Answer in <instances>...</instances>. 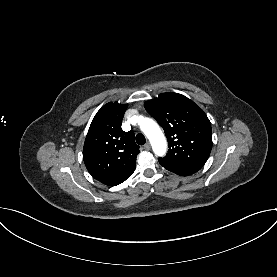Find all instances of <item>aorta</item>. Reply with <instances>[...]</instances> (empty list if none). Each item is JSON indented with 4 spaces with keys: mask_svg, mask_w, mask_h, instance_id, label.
<instances>
[{
    "mask_svg": "<svg viewBox=\"0 0 277 277\" xmlns=\"http://www.w3.org/2000/svg\"><path fill=\"white\" fill-rule=\"evenodd\" d=\"M142 118L140 124L141 130L149 139L153 151L158 156H163L166 153L167 143L166 139L158 126V124L150 118Z\"/></svg>",
    "mask_w": 277,
    "mask_h": 277,
    "instance_id": "1",
    "label": "aorta"
}]
</instances>
